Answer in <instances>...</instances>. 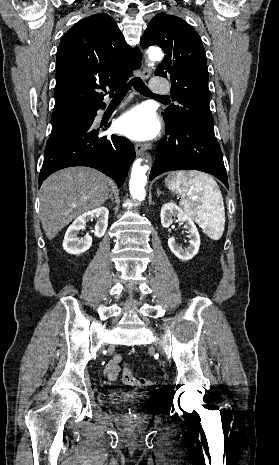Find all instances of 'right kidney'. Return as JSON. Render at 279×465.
Wrapping results in <instances>:
<instances>
[{
    "label": "right kidney",
    "mask_w": 279,
    "mask_h": 465,
    "mask_svg": "<svg viewBox=\"0 0 279 465\" xmlns=\"http://www.w3.org/2000/svg\"><path fill=\"white\" fill-rule=\"evenodd\" d=\"M108 216L109 210L106 207L95 208L78 216L65 233L63 241L64 250L73 255L86 252L92 245V237L87 234L82 239H79L77 237L78 232L85 228L86 222L97 218L93 233L99 238L104 236L108 226Z\"/></svg>",
    "instance_id": "ca27d5eb"
}]
</instances>
